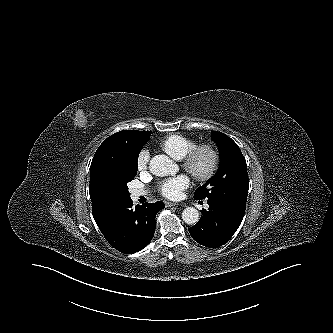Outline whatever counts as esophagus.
Wrapping results in <instances>:
<instances>
[{"mask_svg": "<svg viewBox=\"0 0 333 333\" xmlns=\"http://www.w3.org/2000/svg\"><path fill=\"white\" fill-rule=\"evenodd\" d=\"M165 205H166V207H173V206H178V205H182V204L166 201Z\"/></svg>", "mask_w": 333, "mask_h": 333, "instance_id": "esophagus-1", "label": "esophagus"}]
</instances>
